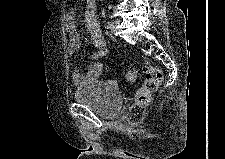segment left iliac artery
Returning <instances> with one entry per match:
<instances>
[{
  "label": "left iliac artery",
  "mask_w": 225,
  "mask_h": 159,
  "mask_svg": "<svg viewBox=\"0 0 225 159\" xmlns=\"http://www.w3.org/2000/svg\"><path fill=\"white\" fill-rule=\"evenodd\" d=\"M111 25V22H107V28Z\"/></svg>",
  "instance_id": "1"
}]
</instances>
